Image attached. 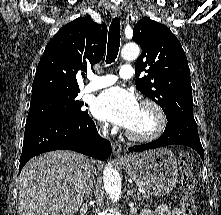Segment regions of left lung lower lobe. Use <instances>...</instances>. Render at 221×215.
<instances>
[{
    "label": "left lung lower lobe",
    "mask_w": 221,
    "mask_h": 215,
    "mask_svg": "<svg viewBox=\"0 0 221 215\" xmlns=\"http://www.w3.org/2000/svg\"><path fill=\"white\" fill-rule=\"evenodd\" d=\"M166 145H185L196 150L204 161V150L202 148L197 124L194 119H173L169 120L162 136L154 142L144 145L130 147L129 151L139 152L148 149H155Z\"/></svg>",
    "instance_id": "1"
}]
</instances>
